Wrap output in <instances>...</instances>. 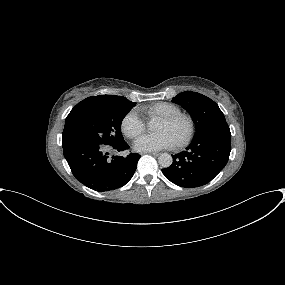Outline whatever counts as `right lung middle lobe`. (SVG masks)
Returning <instances> with one entry per match:
<instances>
[{
  "label": "right lung middle lobe",
  "mask_w": 285,
  "mask_h": 285,
  "mask_svg": "<svg viewBox=\"0 0 285 285\" xmlns=\"http://www.w3.org/2000/svg\"><path fill=\"white\" fill-rule=\"evenodd\" d=\"M136 103L98 104L70 112L65 121L62 144L91 143L112 146L124 141L121 123Z\"/></svg>",
  "instance_id": "dd1d6c3e"
}]
</instances>
